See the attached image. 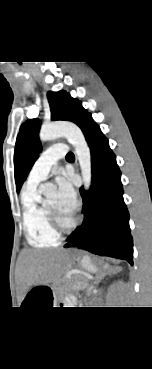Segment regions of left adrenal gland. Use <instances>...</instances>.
Wrapping results in <instances>:
<instances>
[{"label": "left adrenal gland", "mask_w": 152, "mask_h": 369, "mask_svg": "<svg viewBox=\"0 0 152 369\" xmlns=\"http://www.w3.org/2000/svg\"><path fill=\"white\" fill-rule=\"evenodd\" d=\"M119 269L118 267L116 268V270ZM111 271L108 272H101L100 274L96 275V280L94 282V285H97L101 282V280L107 275L109 274Z\"/></svg>", "instance_id": "left-adrenal-gland-1"}]
</instances>
